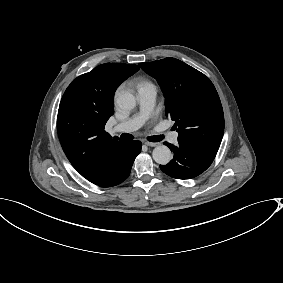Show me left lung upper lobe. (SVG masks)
Instances as JSON below:
<instances>
[{
    "mask_svg": "<svg viewBox=\"0 0 283 283\" xmlns=\"http://www.w3.org/2000/svg\"><path fill=\"white\" fill-rule=\"evenodd\" d=\"M139 65L160 84L166 115L176 121L178 141L217 153L224 133V115L208 77L175 58Z\"/></svg>",
    "mask_w": 283,
    "mask_h": 283,
    "instance_id": "1",
    "label": "left lung upper lobe"
}]
</instances>
